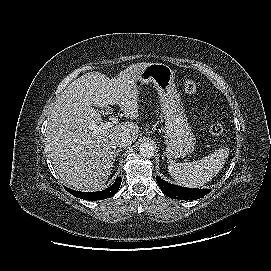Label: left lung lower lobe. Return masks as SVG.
Wrapping results in <instances>:
<instances>
[{
    "mask_svg": "<svg viewBox=\"0 0 271 271\" xmlns=\"http://www.w3.org/2000/svg\"><path fill=\"white\" fill-rule=\"evenodd\" d=\"M160 189L169 197L180 200H195L204 197L210 192L209 189H191L170 184L160 177H156Z\"/></svg>",
    "mask_w": 271,
    "mask_h": 271,
    "instance_id": "obj_1",
    "label": "left lung lower lobe"
}]
</instances>
